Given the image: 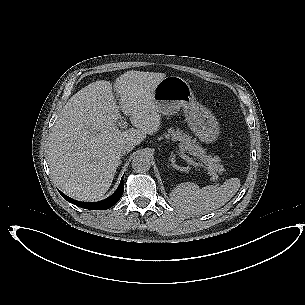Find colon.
<instances>
[{"mask_svg":"<svg viewBox=\"0 0 305 305\" xmlns=\"http://www.w3.org/2000/svg\"><path fill=\"white\" fill-rule=\"evenodd\" d=\"M215 106H216V107H219V103H218V102H216V103H215Z\"/></svg>","mask_w":305,"mask_h":305,"instance_id":"obj_1","label":"colon"}]
</instances>
